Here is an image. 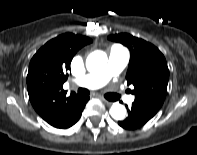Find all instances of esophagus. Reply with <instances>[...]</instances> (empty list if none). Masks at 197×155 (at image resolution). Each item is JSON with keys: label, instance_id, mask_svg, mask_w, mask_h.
<instances>
[{"label": "esophagus", "instance_id": "34e87169", "mask_svg": "<svg viewBox=\"0 0 197 155\" xmlns=\"http://www.w3.org/2000/svg\"><path fill=\"white\" fill-rule=\"evenodd\" d=\"M102 101H103L106 105H111V104H112L111 101H108V100H106V99H102Z\"/></svg>", "mask_w": 197, "mask_h": 155}]
</instances>
